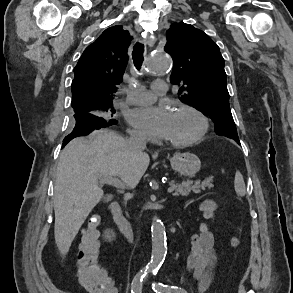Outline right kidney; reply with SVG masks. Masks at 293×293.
<instances>
[{
	"label": "right kidney",
	"instance_id": "right-kidney-1",
	"mask_svg": "<svg viewBox=\"0 0 293 293\" xmlns=\"http://www.w3.org/2000/svg\"><path fill=\"white\" fill-rule=\"evenodd\" d=\"M112 236L114 237V235H112ZM112 236L109 235V234H107V235H106V238H108V239L111 241V239H112L111 237H112Z\"/></svg>",
	"mask_w": 293,
	"mask_h": 293
}]
</instances>
